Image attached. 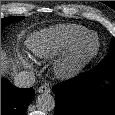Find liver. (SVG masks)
<instances>
[{
  "label": "liver",
  "instance_id": "1",
  "mask_svg": "<svg viewBox=\"0 0 115 115\" xmlns=\"http://www.w3.org/2000/svg\"><path fill=\"white\" fill-rule=\"evenodd\" d=\"M6 69H7L6 55L3 51H1V75L5 73Z\"/></svg>",
  "mask_w": 115,
  "mask_h": 115
}]
</instances>
